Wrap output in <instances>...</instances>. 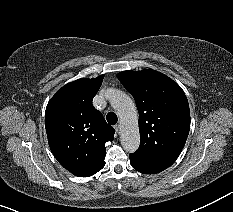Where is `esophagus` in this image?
<instances>
[{
	"instance_id": "1",
	"label": "esophagus",
	"mask_w": 233,
	"mask_h": 212,
	"mask_svg": "<svg viewBox=\"0 0 233 212\" xmlns=\"http://www.w3.org/2000/svg\"><path fill=\"white\" fill-rule=\"evenodd\" d=\"M114 128L117 133H120V125H115Z\"/></svg>"
}]
</instances>
